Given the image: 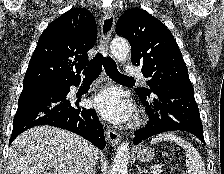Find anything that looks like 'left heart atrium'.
<instances>
[{
  "instance_id": "1",
  "label": "left heart atrium",
  "mask_w": 224,
  "mask_h": 174,
  "mask_svg": "<svg viewBox=\"0 0 224 174\" xmlns=\"http://www.w3.org/2000/svg\"><path fill=\"white\" fill-rule=\"evenodd\" d=\"M93 106L107 120L113 123H125L132 118L133 108L117 90H106L92 101Z\"/></svg>"
}]
</instances>
